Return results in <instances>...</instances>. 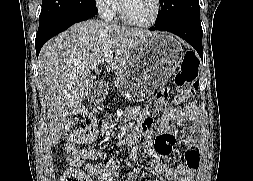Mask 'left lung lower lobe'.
I'll return each instance as SVG.
<instances>
[{
	"instance_id": "obj_1",
	"label": "left lung lower lobe",
	"mask_w": 253,
	"mask_h": 181,
	"mask_svg": "<svg viewBox=\"0 0 253 181\" xmlns=\"http://www.w3.org/2000/svg\"><path fill=\"white\" fill-rule=\"evenodd\" d=\"M150 30L168 31L174 33L191 44L203 59L202 27L200 21H180L155 25Z\"/></svg>"
}]
</instances>
